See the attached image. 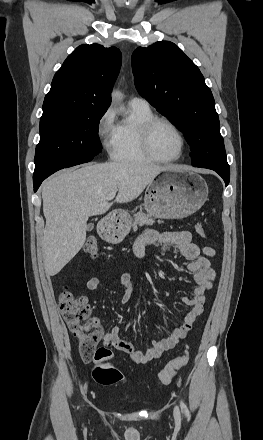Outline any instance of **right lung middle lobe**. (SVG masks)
Wrapping results in <instances>:
<instances>
[{"label":"right lung middle lobe","instance_id":"1","mask_svg":"<svg viewBox=\"0 0 263 440\" xmlns=\"http://www.w3.org/2000/svg\"><path fill=\"white\" fill-rule=\"evenodd\" d=\"M106 110L53 112L40 119V141L35 153L33 180L84 162L102 151L99 121Z\"/></svg>","mask_w":263,"mask_h":440}]
</instances>
